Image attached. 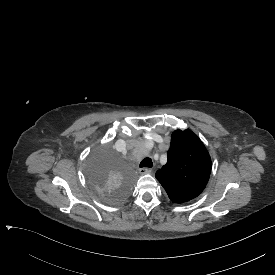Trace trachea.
<instances>
[{"label":"trachea","instance_id":"1","mask_svg":"<svg viewBox=\"0 0 275 275\" xmlns=\"http://www.w3.org/2000/svg\"><path fill=\"white\" fill-rule=\"evenodd\" d=\"M139 166L142 168H144V167H147V168H151L152 166H153V162H152V160H151V158H145V159H143L141 162H140V164H139Z\"/></svg>","mask_w":275,"mask_h":275}]
</instances>
